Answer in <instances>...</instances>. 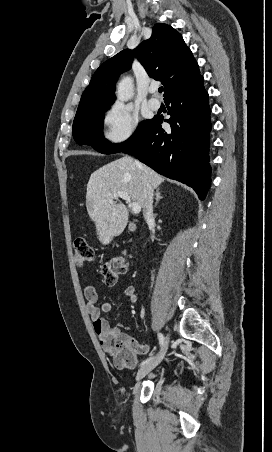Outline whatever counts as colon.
I'll return each instance as SVG.
<instances>
[{"mask_svg":"<svg viewBox=\"0 0 272 452\" xmlns=\"http://www.w3.org/2000/svg\"><path fill=\"white\" fill-rule=\"evenodd\" d=\"M74 263L77 267L91 263L94 260L93 248L85 239H76L73 246ZM128 270V259L125 254L110 257L101 267L102 280L105 285L113 286L118 277ZM108 353L111 354L114 365L121 369H132L136 364L137 345L134 340L125 335L110 336L106 342Z\"/></svg>","mask_w":272,"mask_h":452,"instance_id":"obj_1","label":"colon"}]
</instances>
